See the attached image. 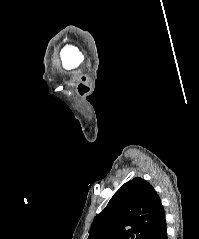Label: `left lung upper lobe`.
I'll return each instance as SVG.
<instances>
[{"label": "left lung upper lobe", "instance_id": "obj_1", "mask_svg": "<svg viewBox=\"0 0 199 239\" xmlns=\"http://www.w3.org/2000/svg\"><path fill=\"white\" fill-rule=\"evenodd\" d=\"M162 212L154 188L136 177L123 184L94 218L88 239H147Z\"/></svg>", "mask_w": 199, "mask_h": 239}]
</instances>
